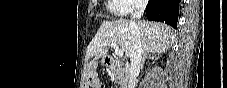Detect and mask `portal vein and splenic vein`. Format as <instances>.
I'll return each instance as SVG.
<instances>
[{"label":"portal vein and splenic vein","mask_w":227,"mask_h":88,"mask_svg":"<svg viewBox=\"0 0 227 88\" xmlns=\"http://www.w3.org/2000/svg\"><path fill=\"white\" fill-rule=\"evenodd\" d=\"M110 46L114 49L116 56H118V57L123 56V54H124L123 50L120 49L116 43H111Z\"/></svg>","instance_id":"18ae733b"}]
</instances>
